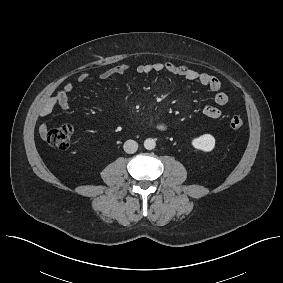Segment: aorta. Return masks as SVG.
<instances>
[{"mask_svg":"<svg viewBox=\"0 0 283 283\" xmlns=\"http://www.w3.org/2000/svg\"><path fill=\"white\" fill-rule=\"evenodd\" d=\"M156 146V143H155V140L154 139H151V138H148L144 141V147L147 149V150H152L154 149Z\"/></svg>","mask_w":283,"mask_h":283,"instance_id":"aorta-1","label":"aorta"}]
</instances>
